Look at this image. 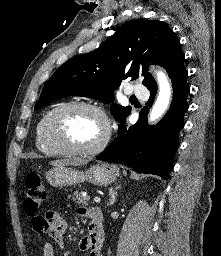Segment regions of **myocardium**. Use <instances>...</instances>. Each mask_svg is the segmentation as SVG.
<instances>
[{"mask_svg": "<svg viewBox=\"0 0 221 256\" xmlns=\"http://www.w3.org/2000/svg\"><path fill=\"white\" fill-rule=\"evenodd\" d=\"M76 108L86 109L94 112L102 119L104 123L105 131H104L103 137L93 146L86 147V148L75 147L70 145L60 137H57L53 133V125L58 115H60L64 111H67L70 109H76ZM110 135H111L110 121L105 111L99 106L93 103L85 102V101H71L67 103H62L57 107L53 108L44 118L43 127H42V136L44 141L48 145L58 149L60 152H62V154H66V155L88 156V155L97 154L106 147V145L109 142Z\"/></svg>", "mask_w": 221, "mask_h": 256, "instance_id": "myocardium-1", "label": "myocardium"}]
</instances>
